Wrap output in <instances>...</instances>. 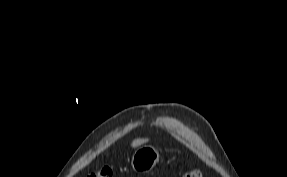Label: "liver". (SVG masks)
<instances>
[{
    "label": "liver",
    "mask_w": 287,
    "mask_h": 177,
    "mask_svg": "<svg viewBox=\"0 0 287 177\" xmlns=\"http://www.w3.org/2000/svg\"><path fill=\"white\" fill-rule=\"evenodd\" d=\"M148 141V139H136V140H134L133 142H132V147H138V146H140V145H142V144H144V143H146Z\"/></svg>",
    "instance_id": "liver-1"
}]
</instances>
